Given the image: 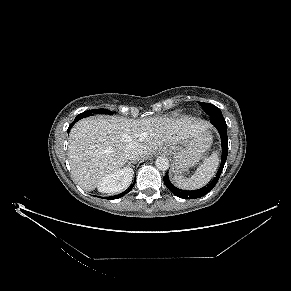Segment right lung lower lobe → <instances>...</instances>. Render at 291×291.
I'll use <instances>...</instances> for the list:
<instances>
[{"label":"right lung lower lobe","mask_w":291,"mask_h":291,"mask_svg":"<svg viewBox=\"0 0 291 291\" xmlns=\"http://www.w3.org/2000/svg\"><path fill=\"white\" fill-rule=\"evenodd\" d=\"M77 121H78V120H74V122L69 126V128H68V133H69V130H70V128L72 127V125H73L75 122H77ZM135 182H136V180H134L132 186L130 187V189H129L128 191H126L125 193H122V194H120V195H118V196H116V197H114V198H121V197L124 196L126 193H128V192L133 188ZM114 198H113V199H114Z\"/></svg>","instance_id":"obj_1"}]
</instances>
